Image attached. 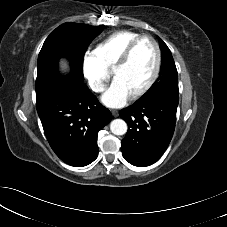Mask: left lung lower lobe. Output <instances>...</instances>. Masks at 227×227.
Masks as SVG:
<instances>
[{
  "mask_svg": "<svg viewBox=\"0 0 227 227\" xmlns=\"http://www.w3.org/2000/svg\"><path fill=\"white\" fill-rule=\"evenodd\" d=\"M179 99L156 95L122 109L128 124L122 140V155L130 164L144 167L155 163L168 147L175 129Z\"/></svg>",
  "mask_w": 227,
  "mask_h": 227,
  "instance_id": "0a47b994",
  "label": "left lung lower lobe"
}]
</instances>
